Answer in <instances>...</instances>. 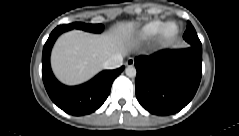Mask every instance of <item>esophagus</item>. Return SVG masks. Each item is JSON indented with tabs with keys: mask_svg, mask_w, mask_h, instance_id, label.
<instances>
[{
	"mask_svg": "<svg viewBox=\"0 0 239 136\" xmlns=\"http://www.w3.org/2000/svg\"><path fill=\"white\" fill-rule=\"evenodd\" d=\"M126 65H127V66H132V65H134V59H133V58H129V59L126 61Z\"/></svg>",
	"mask_w": 239,
	"mask_h": 136,
	"instance_id": "esophagus-1",
	"label": "esophagus"
}]
</instances>
